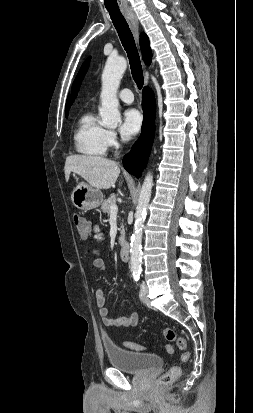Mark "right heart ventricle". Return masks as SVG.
<instances>
[{
    "label": "right heart ventricle",
    "instance_id": "e07e8e85",
    "mask_svg": "<svg viewBox=\"0 0 253 413\" xmlns=\"http://www.w3.org/2000/svg\"><path fill=\"white\" fill-rule=\"evenodd\" d=\"M106 132L92 111L85 112L79 118L74 131L76 151L88 157H103L108 148Z\"/></svg>",
    "mask_w": 253,
    "mask_h": 413
}]
</instances>
